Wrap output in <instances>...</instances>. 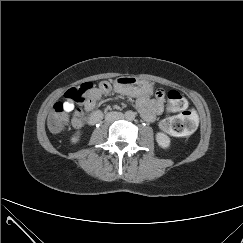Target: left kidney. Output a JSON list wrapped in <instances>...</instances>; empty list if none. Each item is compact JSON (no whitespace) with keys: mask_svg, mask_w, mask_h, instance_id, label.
<instances>
[{"mask_svg":"<svg viewBox=\"0 0 243 243\" xmlns=\"http://www.w3.org/2000/svg\"><path fill=\"white\" fill-rule=\"evenodd\" d=\"M156 141L158 143V145L163 148V149H167L170 147V138L169 136H167L166 134L162 133V132H158L156 134Z\"/></svg>","mask_w":243,"mask_h":243,"instance_id":"1","label":"left kidney"}]
</instances>
